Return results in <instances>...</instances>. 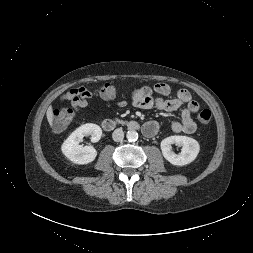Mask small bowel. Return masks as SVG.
<instances>
[{
	"label": "small bowel",
	"mask_w": 253,
	"mask_h": 253,
	"mask_svg": "<svg viewBox=\"0 0 253 253\" xmlns=\"http://www.w3.org/2000/svg\"><path fill=\"white\" fill-rule=\"evenodd\" d=\"M171 88L168 84L159 82L153 87L144 86L133 91L131 95L132 103L140 109H158L167 112L176 111L184 106L181 111L179 121L171 124V129L175 133L193 134L196 131V124L192 119V114L199 110V104L192 99L190 92L186 89L178 90L176 97L167 99ZM154 95H157L156 97ZM92 97V93L85 87L74 88L67 91L62 96L63 101H69L75 111L84 108L88 104V100ZM125 101L118 102L119 106H124ZM159 129V124L154 121H147L143 126V132L146 136H154Z\"/></svg>",
	"instance_id": "1"
}]
</instances>
